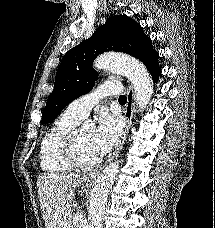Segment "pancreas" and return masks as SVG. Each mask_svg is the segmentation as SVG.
I'll list each match as a JSON object with an SVG mask.
<instances>
[{
	"label": "pancreas",
	"mask_w": 215,
	"mask_h": 228,
	"mask_svg": "<svg viewBox=\"0 0 215 228\" xmlns=\"http://www.w3.org/2000/svg\"><path fill=\"white\" fill-rule=\"evenodd\" d=\"M78 224L79 222H75V224H73V228H79Z\"/></svg>",
	"instance_id": "pancreas-1"
}]
</instances>
